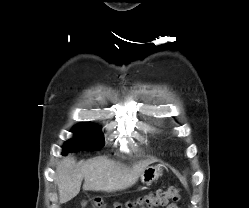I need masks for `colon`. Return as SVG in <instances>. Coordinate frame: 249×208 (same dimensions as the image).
Wrapping results in <instances>:
<instances>
[{"instance_id":"5ec220e1","label":"colon","mask_w":249,"mask_h":208,"mask_svg":"<svg viewBox=\"0 0 249 208\" xmlns=\"http://www.w3.org/2000/svg\"><path fill=\"white\" fill-rule=\"evenodd\" d=\"M180 199V189L177 187H169L166 189H158L154 193H150L134 201H128L125 204L115 203L112 208H154L157 206H165L170 201H178ZM92 208H106L102 201H95Z\"/></svg>"}]
</instances>
